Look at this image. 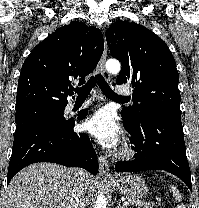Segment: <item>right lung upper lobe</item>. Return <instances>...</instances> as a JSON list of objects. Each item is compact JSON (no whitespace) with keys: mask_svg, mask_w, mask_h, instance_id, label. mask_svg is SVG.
Returning a JSON list of instances; mask_svg holds the SVG:
<instances>
[{"mask_svg":"<svg viewBox=\"0 0 199 208\" xmlns=\"http://www.w3.org/2000/svg\"><path fill=\"white\" fill-rule=\"evenodd\" d=\"M104 50L102 33L74 21L39 43L25 60L18 81L16 108L66 106L71 81L85 83Z\"/></svg>","mask_w":199,"mask_h":208,"instance_id":"right-lung-upper-lobe-1","label":"right lung upper lobe"}]
</instances>
